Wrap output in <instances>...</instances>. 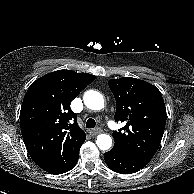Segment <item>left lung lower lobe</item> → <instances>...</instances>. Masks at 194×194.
I'll list each match as a JSON object with an SVG mask.
<instances>
[{
	"label": "left lung lower lobe",
	"mask_w": 194,
	"mask_h": 194,
	"mask_svg": "<svg viewBox=\"0 0 194 194\" xmlns=\"http://www.w3.org/2000/svg\"><path fill=\"white\" fill-rule=\"evenodd\" d=\"M104 159L111 170L121 174L135 173L148 164L114 148L104 154Z\"/></svg>",
	"instance_id": "1"
}]
</instances>
